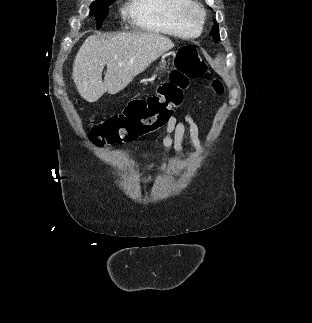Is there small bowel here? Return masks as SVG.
<instances>
[{
    "label": "small bowel",
    "mask_w": 312,
    "mask_h": 323,
    "mask_svg": "<svg viewBox=\"0 0 312 323\" xmlns=\"http://www.w3.org/2000/svg\"><path fill=\"white\" fill-rule=\"evenodd\" d=\"M188 132L190 144L197 154L203 151V143L201 132L198 124L193 116L188 113L183 120H179L172 116L166 125V136L162 139L164 151L161 154V159L147 164L145 167L152 169L160 166L170 156V151L173 150L179 160H184L186 154L183 147L185 134Z\"/></svg>",
    "instance_id": "1"
}]
</instances>
